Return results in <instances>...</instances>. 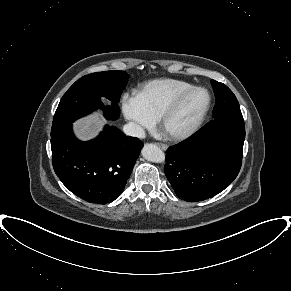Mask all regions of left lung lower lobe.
Segmentation results:
<instances>
[{
	"label": "left lung lower lobe",
	"mask_w": 291,
	"mask_h": 291,
	"mask_svg": "<svg viewBox=\"0 0 291 291\" xmlns=\"http://www.w3.org/2000/svg\"><path fill=\"white\" fill-rule=\"evenodd\" d=\"M243 117L219 116L166 152L165 174L178 198L201 201L225 189L238 175Z\"/></svg>",
	"instance_id": "1"
}]
</instances>
